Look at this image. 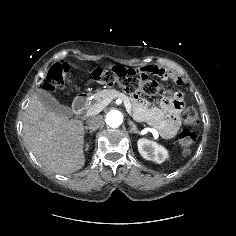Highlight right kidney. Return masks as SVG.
Masks as SVG:
<instances>
[{
	"instance_id": "right-kidney-1",
	"label": "right kidney",
	"mask_w": 236,
	"mask_h": 236,
	"mask_svg": "<svg viewBox=\"0 0 236 236\" xmlns=\"http://www.w3.org/2000/svg\"><path fill=\"white\" fill-rule=\"evenodd\" d=\"M89 148V145H86V150Z\"/></svg>"
}]
</instances>
